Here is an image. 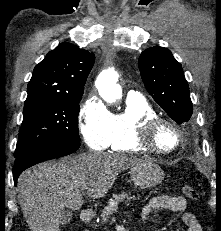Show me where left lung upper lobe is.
Here are the masks:
<instances>
[{
  "instance_id": "5c2ea615",
  "label": "left lung upper lobe",
  "mask_w": 221,
  "mask_h": 231,
  "mask_svg": "<svg viewBox=\"0 0 221 231\" xmlns=\"http://www.w3.org/2000/svg\"><path fill=\"white\" fill-rule=\"evenodd\" d=\"M144 85L154 100L177 123L192 115L189 86L182 67L171 51L155 46L144 50L138 60Z\"/></svg>"
}]
</instances>
